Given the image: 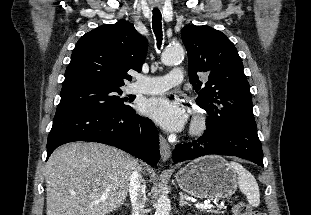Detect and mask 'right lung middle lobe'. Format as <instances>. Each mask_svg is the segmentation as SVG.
I'll use <instances>...</instances> for the list:
<instances>
[{"instance_id": "dd1d6c3e", "label": "right lung middle lobe", "mask_w": 311, "mask_h": 215, "mask_svg": "<svg viewBox=\"0 0 311 215\" xmlns=\"http://www.w3.org/2000/svg\"><path fill=\"white\" fill-rule=\"evenodd\" d=\"M119 87H110L94 83H76L63 86L61 100L56 112L67 109H87L105 113H121L133 108L125 101L132 97L121 98Z\"/></svg>"}]
</instances>
